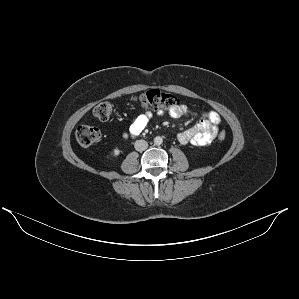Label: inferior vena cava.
I'll return each mask as SVG.
<instances>
[{"mask_svg": "<svg viewBox=\"0 0 299 299\" xmlns=\"http://www.w3.org/2000/svg\"><path fill=\"white\" fill-rule=\"evenodd\" d=\"M134 147L137 151H144L148 148V143L145 140H137Z\"/></svg>", "mask_w": 299, "mask_h": 299, "instance_id": "inferior-vena-cava-1", "label": "inferior vena cava"}]
</instances>
